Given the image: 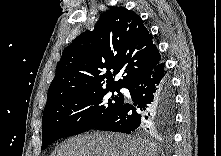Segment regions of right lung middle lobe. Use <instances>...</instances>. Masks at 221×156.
<instances>
[{"mask_svg": "<svg viewBox=\"0 0 221 156\" xmlns=\"http://www.w3.org/2000/svg\"><path fill=\"white\" fill-rule=\"evenodd\" d=\"M118 95H114V91ZM112 92V95H110ZM124 102L119 89H100L72 93L43 112L42 147L67 136L94 128Z\"/></svg>", "mask_w": 221, "mask_h": 156, "instance_id": "1", "label": "right lung middle lobe"}]
</instances>
